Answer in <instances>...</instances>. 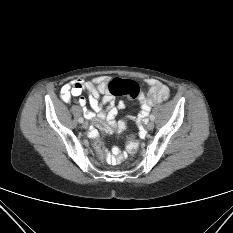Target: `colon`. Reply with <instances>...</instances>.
<instances>
[{"label": "colon", "mask_w": 233, "mask_h": 233, "mask_svg": "<svg viewBox=\"0 0 233 233\" xmlns=\"http://www.w3.org/2000/svg\"><path fill=\"white\" fill-rule=\"evenodd\" d=\"M108 90L114 96H127L130 99L138 98L140 87L137 82L129 79L114 78L108 83ZM95 150L100 156H103L104 148L101 140L96 139L93 142ZM139 143L134 138H129L127 151L131 154L137 152Z\"/></svg>", "instance_id": "colon-1"}]
</instances>
